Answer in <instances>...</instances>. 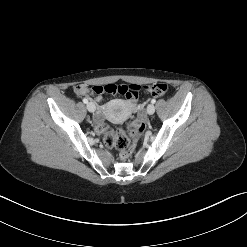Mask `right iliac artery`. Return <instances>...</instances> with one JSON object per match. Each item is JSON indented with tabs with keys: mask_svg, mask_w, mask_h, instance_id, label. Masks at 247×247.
<instances>
[{
	"mask_svg": "<svg viewBox=\"0 0 247 247\" xmlns=\"http://www.w3.org/2000/svg\"><path fill=\"white\" fill-rule=\"evenodd\" d=\"M83 102H84L85 104H87V103H88V99L84 98V99H83Z\"/></svg>",
	"mask_w": 247,
	"mask_h": 247,
	"instance_id": "82829eb1",
	"label": "right iliac artery"
}]
</instances>
